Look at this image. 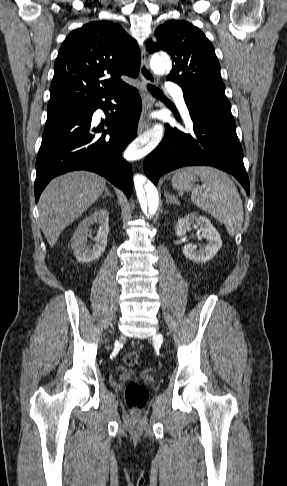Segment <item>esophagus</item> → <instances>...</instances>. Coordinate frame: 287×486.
Instances as JSON below:
<instances>
[{
    "instance_id": "34e87169",
    "label": "esophagus",
    "mask_w": 287,
    "mask_h": 486,
    "mask_svg": "<svg viewBox=\"0 0 287 486\" xmlns=\"http://www.w3.org/2000/svg\"><path fill=\"white\" fill-rule=\"evenodd\" d=\"M140 74L144 82V85L155 84V76L148 66L145 48L141 49ZM142 101H143V112L138 124V134H143L150 127V122L147 119V114L149 113V111H151V109L154 106V98L149 94L145 86L142 87Z\"/></svg>"
}]
</instances>
